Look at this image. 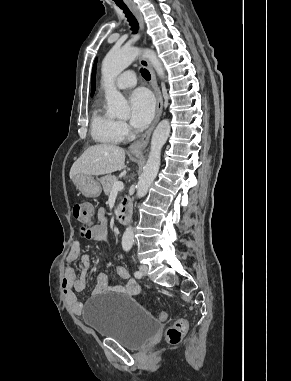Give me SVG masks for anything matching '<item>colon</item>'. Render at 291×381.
Returning a JSON list of instances; mask_svg holds the SVG:
<instances>
[{
  "label": "colon",
  "mask_w": 291,
  "mask_h": 381,
  "mask_svg": "<svg viewBox=\"0 0 291 381\" xmlns=\"http://www.w3.org/2000/svg\"><path fill=\"white\" fill-rule=\"evenodd\" d=\"M74 219L82 226V230L90 228L94 223V209L88 203H75L72 207ZM168 317L167 312L161 311L157 315L159 321H164ZM187 331V322L184 319H177L166 331V341L169 344L180 343L183 335Z\"/></svg>",
  "instance_id": "1"
}]
</instances>
